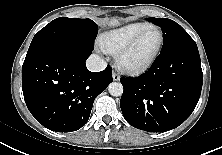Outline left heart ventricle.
Instances as JSON below:
<instances>
[{"mask_svg": "<svg viewBox=\"0 0 222 155\" xmlns=\"http://www.w3.org/2000/svg\"><path fill=\"white\" fill-rule=\"evenodd\" d=\"M159 39V33L156 30L149 31L127 56V63L130 65L145 63L156 50Z\"/></svg>", "mask_w": 222, "mask_h": 155, "instance_id": "1", "label": "left heart ventricle"}]
</instances>
